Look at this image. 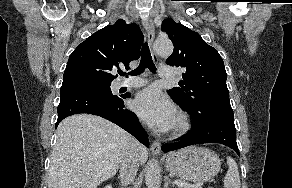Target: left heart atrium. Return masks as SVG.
Listing matches in <instances>:
<instances>
[{
  "label": "left heart atrium",
  "instance_id": "1",
  "mask_svg": "<svg viewBox=\"0 0 292 188\" xmlns=\"http://www.w3.org/2000/svg\"><path fill=\"white\" fill-rule=\"evenodd\" d=\"M132 107L143 122L159 130L169 129L176 118L174 106L154 88L138 93Z\"/></svg>",
  "mask_w": 292,
  "mask_h": 188
}]
</instances>
